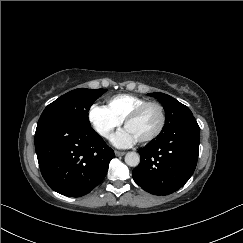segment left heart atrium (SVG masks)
I'll use <instances>...</instances> for the list:
<instances>
[{"label":"left heart atrium","instance_id":"obj_1","mask_svg":"<svg viewBox=\"0 0 243 243\" xmlns=\"http://www.w3.org/2000/svg\"><path fill=\"white\" fill-rule=\"evenodd\" d=\"M111 142L117 148H127L134 145L137 140L133 134L125 128L114 134L111 138Z\"/></svg>","mask_w":243,"mask_h":243}]
</instances>
